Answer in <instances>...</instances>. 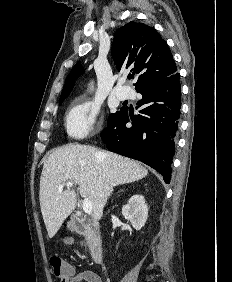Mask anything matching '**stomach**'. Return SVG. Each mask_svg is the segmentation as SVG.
<instances>
[{
	"label": "stomach",
	"mask_w": 232,
	"mask_h": 282,
	"mask_svg": "<svg viewBox=\"0 0 232 282\" xmlns=\"http://www.w3.org/2000/svg\"><path fill=\"white\" fill-rule=\"evenodd\" d=\"M67 227L68 229H70L71 231H74L75 230V224L72 222V221H69L67 223Z\"/></svg>",
	"instance_id": "obj_1"
}]
</instances>
